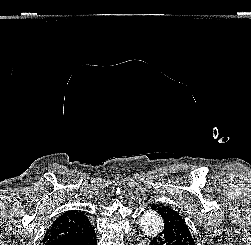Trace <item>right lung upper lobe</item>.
<instances>
[{"label":"right lung upper lobe","mask_w":251,"mask_h":245,"mask_svg":"<svg viewBox=\"0 0 251 245\" xmlns=\"http://www.w3.org/2000/svg\"><path fill=\"white\" fill-rule=\"evenodd\" d=\"M89 219L81 211H67L59 216L45 233L44 245L48 242L69 238H79L93 231Z\"/></svg>","instance_id":"right-lung-upper-lobe-1"}]
</instances>
